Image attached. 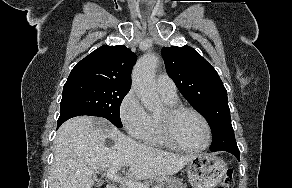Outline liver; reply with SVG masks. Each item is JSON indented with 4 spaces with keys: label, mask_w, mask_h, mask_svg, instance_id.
Instances as JSON below:
<instances>
[{
    "label": "liver",
    "mask_w": 292,
    "mask_h": 188,
    "mask_svg": "<svg viewBox=\"0 0 292 188\" xmlns=\"http://www.w3.org/2000/svg\"><path fill=\"white\" fill-rule=\"evenodd\" d=\"M106 139L114 144L108 147ZM193 158L141 144L105 119L74 117L57 131L49 188H92L94 173L115 167H129L135 180L169 176Z\"/></svg>",
    "instance_id": "liver-1"
}]
</instances>
